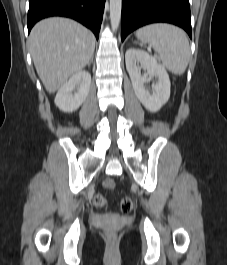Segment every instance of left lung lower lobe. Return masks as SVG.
Segmentation results:
<instances>
[{
    "mask_svg": "<svg viewBox=\"0 0 227 265\" xmlns=\"http://www.w3.org/2000/svg\"><path fill=\"white\" fill-rule=\"evenodd\" d=\"M155 22L175 24L192 38L189 0H122V41L133 30Z\"/></svg>",
    "mask_w": 227,
    "mask_h": 265,
    "instance_id": "obj_1",
    "label": "left lung lower lobe"
}]
</instances>
